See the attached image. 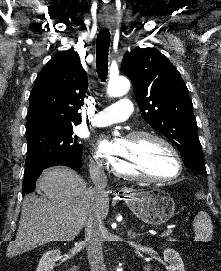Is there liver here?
Wrapping results in <instances>:
<instances>
[{
  "mask_svg": "<svg viewBox=\"0 0 221 271\" xmlns=\"http://www.w3.org/2000/svg\"><path fill=\"white\" fill-rule=\"evenodd\" d=\"M46 197L25 195L18 231L6 249L7 257L34 249L47 241H72L82 227L92 201V189L71 167H50L36 181ZM103 217L109 211V197L99 201Z\"/></svg>",
  "mask_w": 221,
  "mask_h": 271,
  "instance_id": "liver-1",
  "label": "liver"
}]
</instances>
